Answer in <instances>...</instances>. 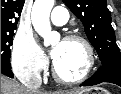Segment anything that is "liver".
<instances>
[{
    "mask_svg": "<svg viewBox=\"0 0 121 94\" xmlns=\"http://www.w3.org/2000/svg\"><path fill=\"white\" fill-rule=\"evenodd\" d=\"M1 94H77V91L57 90L53 92H43L40 90L30 91L18 82L7 78L1 74Z\"/></svg>",
    "mask_w": 121,
    "mask_h": 94,
    "instance_id": "6515ba94",
    "label": "liver"
}]
</instances>
